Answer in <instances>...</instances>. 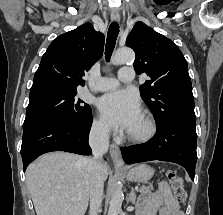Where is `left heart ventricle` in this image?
Wrapping results in <instances>:
<instances>
[{"mask_svg": "<svg viewBox=\"0 0 223 215\" xmlns=\"http://www.w3.org/2000/svg\"><path fill=\"white\" fill-rule=\"evenodd\" d=\"M145 130V124L141 118V115L133 123V125L128 129V131L133 133H142Z\"/></svg>", "mask_w": 223, "mask_h": 215, "instance_id": "left-heart-ventricle-1", "label": "left heart ventricle"}]
</instances>
